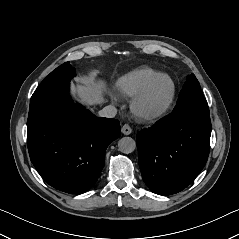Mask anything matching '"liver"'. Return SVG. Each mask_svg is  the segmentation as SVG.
I'll list each match as a JSON object with an SVG mask.
<instances>
[{"mask_svg":"<svg viewBox=\"0 0 239 239\" xmlns=\"http://www.w3.org/2000/svg\"><path fill=\"white\" fill-rule=\"evenodd\" d=\"M104 83L97 81L93 77L82 78L76 86L73 87V93L78 97V100L85 105L101 104L104 99L102 92Z\"/></svg>","mask_w":239,"mask_h":239,"instance_id":"1","label":"liver"}]
</instances>
